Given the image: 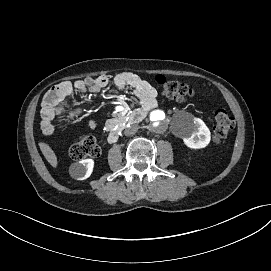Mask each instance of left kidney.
<instances>
[{
  "instance_id": "5707ae66",
  "label": "left kidney",
  "mask_w": 271,
  "mask_h": 271,
  "mask_svg": "<svg viewBox=\"0 0 271 271\" xmlns=\"http://www.w3.org/2000/svg\"><path fill=\"white\" fill-rule=\"evenodd\" d=\"M189 127L181 135L184 138L185 143L192 148L204 147L210 140L209 129L205 123L193 116L189 119Z\"/></svg>"
}]
</instances>
